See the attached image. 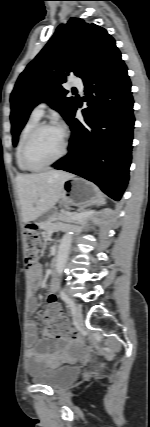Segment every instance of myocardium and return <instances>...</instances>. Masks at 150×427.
Wrapping results in <instances>:
<instances>
[{"label":"myocardium","mask_w":150,"mask_h":427,"mask_svg":"<svg viewBox=\"0 0 150 427\" xmlns=\"http://www.w3.org/2000/svg\"><path fill=\"white\" fill-rule=\"evenodd\" d=\"M47 128H55V129H60L63 132L64 135V142H63V148L61 153L52 161L41 165V166H32L29 164L28 159H27V151H28V147L30 145V142L32 141V139L34 138V136L41 130L43 129H47ZM68 148H69V138H68V134L66 133V131L59 126L58 124L55 123H51V122H43V123H38L36 124L31 130L30 132L27 134L23 145H22V150H21V159L23 162V165L25 166V168L29 171H41L44 170L52 165H54L55 163L59 162L61 159H63L66 154L68 153Z\"/></svg>","instance_id":"1"}]
</instances>
